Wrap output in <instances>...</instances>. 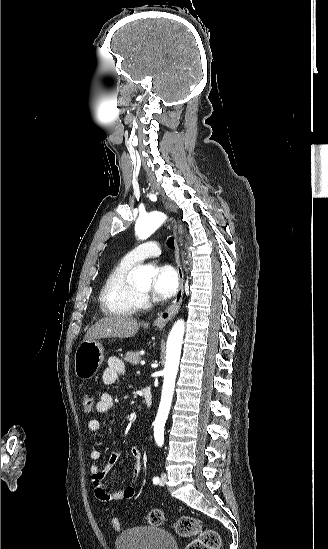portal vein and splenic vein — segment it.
Segmentation results:
<instances>
[{
  "label": "portal vein and splenic vein",
  "mask_w": 328,
  "mask_h": 549,
  "mask_svg": "<svg viewBox=\"0 0 328 549\" xmlns=\"http://www.w3.org/2000/svg\"><path fill=\"white\" fill-rule=\"evenodd\" d=\"M141 364H144V361H141Z\"/></svg>",
  "instance_id": "18ae733b"
}]
</instances>
